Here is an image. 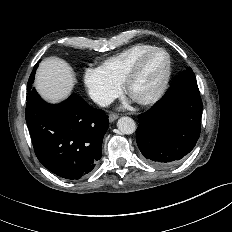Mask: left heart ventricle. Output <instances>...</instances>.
<instances>
[{"mask_svg":"<svg viewBox=\"0 0 232 232\" xmlns=\"http://www.w3.org/2000/svg\"><path fill=\"white\" fill-rule=\"evenodd\" d=\"M166 65L167 58L164 53L156 52L150 55L130 86V97L138 100L153 94L162 82Z\"/></svg>","mask_w":232,"mask_h":232,"instance_id":"1","label":"left heart ventricle"}]
</instances>
